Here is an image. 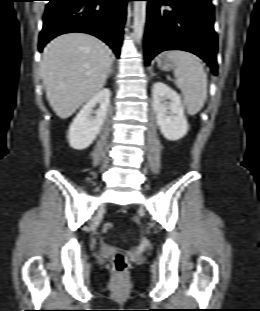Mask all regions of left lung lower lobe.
Returning <instances> with one entry per match:
<instances>
[{"label":"left lung lower lobe","mask_w":260,"mask_h":311,"mask_svg":"<svg viewBox=\"0 0 260 311\" xmlns=\"http://www.w3.org/2000/svg\"><path fill=\"white\" fill-rule=\"evenodd\" d=\"M145 61L165 50H184L201 57L217 74V36L211 0H146ZM168 5L172 10L164 9Z\"/></svg>","instance_id":"left-lung-lower-lobe-1"}]
</instances>
